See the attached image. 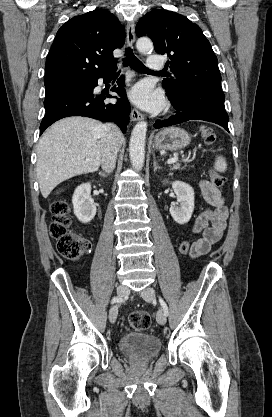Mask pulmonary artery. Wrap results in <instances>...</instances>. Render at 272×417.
<instances>
[{"instance_id": "1", "label": "pulmonary artery", "mask_w": 272, "mask_h": 417, "mask_svg": "<svg viewBox=\"0 0 272 417\" xmlns=\"http://www.w3.org/2000/svg\"><path fill=\"white\" fill-rule=\"evenodd\" d=\"M164 66L163 60L158 55H150L147 61V67L150 70H160Z\"/></svg>"}]
</instances>
